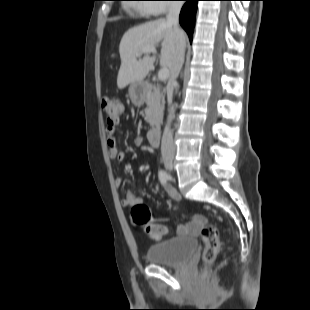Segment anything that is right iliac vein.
Returning <instances> with one entry per match:
<instances>
[{"label": "right iliac vein", "mask_w": 310, "mask_h": 310, "mask_svg": "<svg viewBox=\"0 0 310 310\" xmlns=\"http://www.w3.org/2000/svg\"><path fill=\"white\" fill-rule=\"evenodd\" d=\"M163 163L165 165V167L168 169V170H172L173 169V158L171 157H164L163 158Z\"/></svg>", "instance_id": "63e3f726"}]
</instances>
